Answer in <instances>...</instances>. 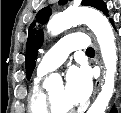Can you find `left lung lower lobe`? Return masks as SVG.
<instances>
[{
	"instance_id": "1",
	"label": "left lung lower lobe",
	"mask_w": 121,
	"mask_h": 113,
	"mask_svg": "<svg viewBox=\"0 0 121 113\" xmlns=\"http://www.w3.org/2000/svg\"><path fill=\"white\" fill-rule=\"evenodd\" d=\"M112 22V20H111ZM110 113H117L116 109L113 107Z\"/></svg>"
}]
</instances>
